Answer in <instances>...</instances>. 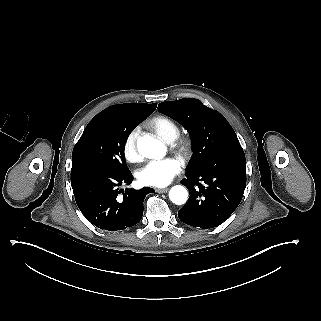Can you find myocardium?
Listing matches in <instances>:
<instances>
[{
    "mask_svg": "<svg viewBox=\"0 0 321 321\" xmlns=\"http://www.w3.org/2000/svg\"><path fill=\"white\" fill-rule=\"evenodd\" d=\"M179 153L182 157L187 158L191 152V141L188 138L178 139L175 141Z\"/></svg>",
    "mask_w": 321,
    "mask_h": 321,
    "instance_id": "myocardium-1",
    "label": "myocardium"
}]
</instances>
